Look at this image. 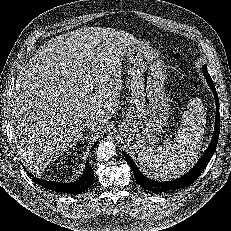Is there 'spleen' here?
<instances>
[{"mask_svg": "<svg viewBox=\"0 0 231 231\" xmlns=\"http://www.w3.org/2000/svg\"><path fill=\"white\" fill-rule=\"evenodd\" d=\"M187 108L174 139H166L159 147L139 151V166L148 177L161 180L174 178L197 158L206 119L200 99L192 100Z\"/></svg>", "mask_w": 231, "mask_h": 231, "instance_id": "obj_1", "label": "spleen"}]
</instances>
